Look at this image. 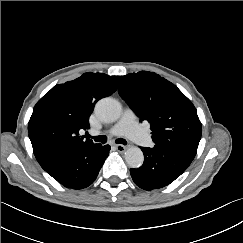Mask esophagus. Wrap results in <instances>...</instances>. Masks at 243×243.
<instances>
[{"label": "esophagus", "instance_id": "34e87169", "mask_svg": "<svg viewBox=\"0 0 243 243\" xmlns=\"http://www.w3.org/2000/svg\"><path fill=\"white\" fill-rule=\"evenodd\" d=\"M114 147L119 152H124L126 150V147L120 144H116Z\"/></svg>", "mask_w": 243, "mask_h": 243}]
</instances>
